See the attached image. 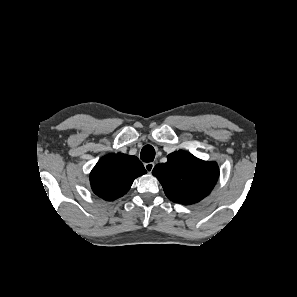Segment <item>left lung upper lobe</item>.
Segmentation results:
<instances>
[{
    "label": "left lung upper lobe",
    "mask_w": 297,
    "mask_h": 297,
    "mask_svg": "<svg viewBox=\"0 0 297 297\" xmlns=\"http://www.w3.org/2000/svg\"><path fill=\"white\" fill-rule=\"evenodd\" d=\"M166 163L154 167L166 196L181 204H193L206 197L219 177L218 165L205 162L185 151L173 152Z\"/></svg>",
    "instance_id": "1"
}]
</instances>
